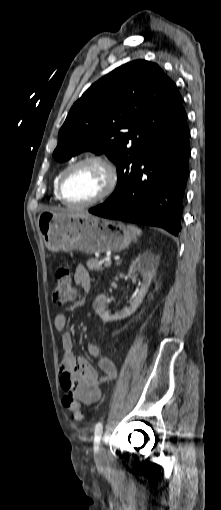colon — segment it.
<instances>
[{"label":"colon","mask_w":221,"mask_h":510,"mask_svg":"<svg viewBox=\"0 0 221 510\" xmlns=\"http://www.w3.org/2000/svg\"><path fill=\"white\" fill-rule=\"evenodd\" d=\"M76 291L73 286L70 269L66 266L59 267L56 270L55 275V286L53 290V301L55 305L62 306L74 299ZM63 405L72 415L75 420H81L83 418L81 404L73 398L71 395H65L63 397Z\"/></svg>","instance_id":"5ec220e1"}]
</instances>
